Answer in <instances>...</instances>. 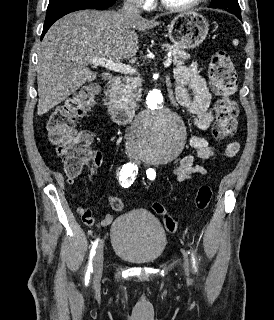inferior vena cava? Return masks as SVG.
Returning a JSON list of instances; mask_svg holds the SVG:
<instances>
[{
	"instance_id": "obj_1",
	"label": "inferior vena cava",
	"mask_w": 274,
	"mask_h": 320,
	"mask_svg": "<svg viewBox=\"0 0 274 320\" xmlns=\"http://www.w3.org/2000/svg\"><path fill=\"white\" fill-rule=\"evenodd\" d=\"M141 0L135 2V0H126L122 10H120V16H122L123 22H131V18H141Z\"/></svg>"
}]
</instances>
